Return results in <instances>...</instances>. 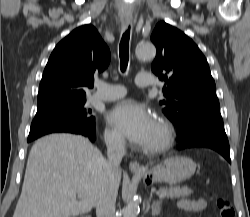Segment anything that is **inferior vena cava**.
I'll return each mask as SVG.
<instances>
[{
    "mask_svg": "<svg viewBox=\"0 0 250 217\" xmlns=\"http://www.w3.org/2000/svg\"><path fill=\"white\" fill-rule=\"evenodd\" d=\"M107 161L103 166V182L96 205L97 217H115V203L121 175L120 163L125 154V139L120 134L105 138Z\"/></svg>",
    "mask_w": 250,
    "mask_h": 217,
    "instance_id": "1",
    "label": "inferior vena cava"
}]
</instances>
